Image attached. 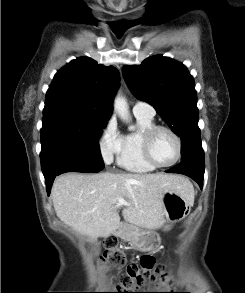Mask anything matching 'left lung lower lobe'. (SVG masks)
I'll return each instance as SVG.
<instances>
[{
	"label": "left lung lower lobe",
	"instance_id": "obj_1",
	"mask_svg": "<svg viewBox=\"0 0 245 293\" xmlns=\"http://www.w3.org/2000/svg\"><path fill=\"white\" fill-rule=\"evenodd\" d=\"M204 165H199L193 162H181L177 166L167 170L168 173H180L186 176L191 177L194 181L198 183L200 188L203 186V178H204Z\"/></svg>",
	"mask_w": 245,
	"mask_h": 293
}]
</instances>
